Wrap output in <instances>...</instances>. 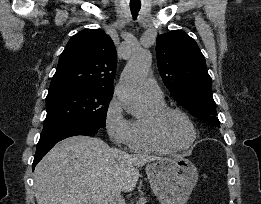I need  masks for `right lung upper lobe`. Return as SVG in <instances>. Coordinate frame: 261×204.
I'll return each instance as SVG.
<instances>
[{"instance_id": "cb5924a9", "label": "right lung upper lobe", "mask_w": 261, "mask_h": 204, "mask_svg": "<svg viewBox=\"0 0 261 204\" xmlns=\"http://www.w3.org/2000/svg\"><path fill=\"white\" fill-rule=\"evenodd\" d=\"M116 64L115 46L104 31H80L61 53L48 94L74 89L113 93Z\"/></svg>"}]
</instances>
